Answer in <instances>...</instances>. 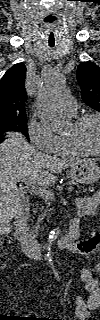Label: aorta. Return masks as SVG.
I'll return each instance as SVG.
<instances>
[{
    "label": "aorta",
    "instance_id": "762f6f07",
    "mask_svg": "<svg viewBox=\"0 0 100 320\" xmlns=\"http://www.w3.org/2000/svg\"><path fill=\"white\" fill-rule=\"evenodd\" d=\"M64 80V75L54 72L42 80L38 90L37 109L40 119L45 126L52 131L64 130L69 125V120L56 106V101L64 89ZM60 233L61 229L57 227L53 229L48 236L46 258L51 264L53 256L51 247Z\"/></svg>",
    "mask_w": 100,
    "mask_h": 320
}]
</instances>
